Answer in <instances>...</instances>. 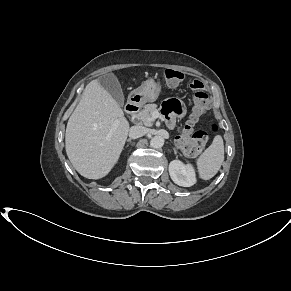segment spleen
Masks as SVG:
<instances>
[{
    "mask_svg": "<svg viewBox=\"0 0 291 291\" xmlns=\"http://www.w3.org/2000/svg\"><path fill=\"white\" fill-rule=\"evenodd\" d=\"M224 161V143L220 135H216L212 144L197 159L196 164L199 176L209 180L219 171Z\"/></svg>",
    "mask_w": 291,
    "mask_h": 291,
    "instance_id": "spleen-1",
    "label": "spleen"
}]
</instances>
